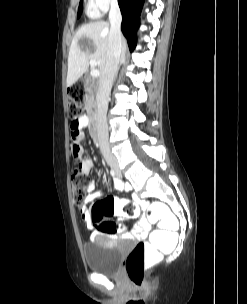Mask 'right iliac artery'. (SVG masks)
<instances>
[{
  "label": "right iliac artery",
  "instance_id": "right-iliac-artery-1",
  "mask_svg": "<svg viewBox=\"0 0 247 304\" xmlns=\"http://www.w3.org/2000/svg\"><path fill=\"white\" fill-rule=\"evenodd\" d=\"M110 174H111V176L114 177V179H115L116 173H115V171H114L113 169L110 170Z\"/></svg>",
  "mask_w": 247,
  "mask_h": 304
}]
</instances>
